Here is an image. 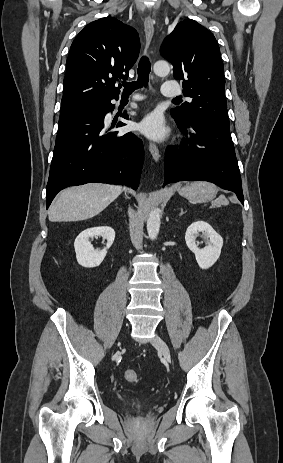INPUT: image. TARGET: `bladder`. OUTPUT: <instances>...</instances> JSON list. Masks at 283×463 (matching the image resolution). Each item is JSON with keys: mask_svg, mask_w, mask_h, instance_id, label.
I'll list each match as a JSON object with an SVG mask.
<instances>
[{"mask_svg": "<svg viewBox=\"0 0 283 463\" xmlns=\"http://www.w3.org/2000/svg\"><path fill=\"white\" fill-rule=\"evenodd\" d=\"M142 404L132 403L131 406L135 408L141 407Z\"/></svg>", "mask_w": 283, "mask_h": 463, "instance_id": "1", "label": "bladder"}]
</instances>
